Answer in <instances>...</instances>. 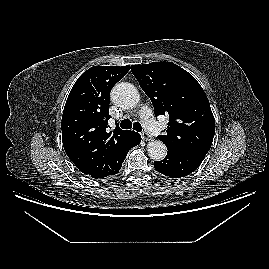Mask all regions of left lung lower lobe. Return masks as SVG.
Returning a JSON list of instances; mask_svg holds the SVG:
<instances>
[{
  "label": "left lung lower lobe",
  "mask_w": 269,
  "mask_h": 269,
  "mask_svg": "<svg viewBox=\"0 0 269 269\" xmlns=\"http://www.w3.org/2000/svg\"><path fill=\"white\" fill-rule=\"evenodd\" d=\"M205 155L182 154L168 151L166 157L161 161H155V169L172 178L184 177L192 173L203 161Z\"/></svg>",
  "instance_id": "left-lung-lower-lobe-1"
}]
</instances>
